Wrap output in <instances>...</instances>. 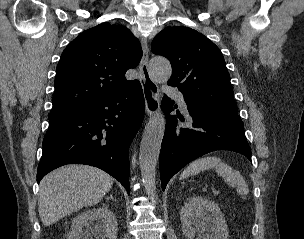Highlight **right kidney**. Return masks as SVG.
Segmentation results:
<instances>
[{
    "label": "right kidney",
    "mask_w": 304,
    "mask_h": 239,
    "mask_svg": "<svg viewBox=\"0 0 304 239\" xmlns=\"http://www.w3.org/2000/svg\"><path fill=\"white\" fill-rule=\"evenodd\" d=\"M86 225L87 230H83ZM117 226L116 216L109 209L92 208L73 219L67 239H116Z\"/></svg>",
    "instance_id": "ca27d5eb"
}]
</instances>
